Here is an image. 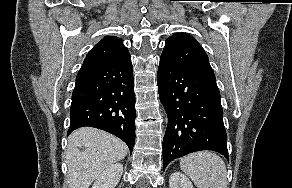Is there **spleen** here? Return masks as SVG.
Returning <instances> with one entry per match:
<instances>
[{
  "label": "spleen",
  "mask_w": 292,
  "mask_h": 188,
  "mask_svg": "<svg viewBox=\"0 0 292 188\" xmlns=\"http://www.w3.org/2000/svg\"><path fill=\"white\" fill-rule=\"evenodd\" d=\"M182 171L197 188H228L227 170L220 156L210 151H199L182 157Z\"/></svg>",
  "instance_id": "obj_1"
}]
</instances>
